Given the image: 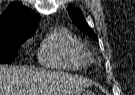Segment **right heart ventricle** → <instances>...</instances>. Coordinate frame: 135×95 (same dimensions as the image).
<instances>
[{"label": "right heart ventricle", "instance_id": "obj_1", "mask_svg": "<svg viewBox=\"0 0 135 95\" xmlns=\"http://www.w3.org/2000/svg\"><path fill=\"white\" fill-rule=\"evenodd\" d=\"M39 60L45 66L64 69H84L91 64L86 47L62 27L55 28L43 39Z\"/></svg>", "mask_w": 135, "mask_h": 95}]
</instances>
